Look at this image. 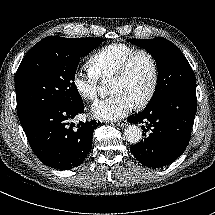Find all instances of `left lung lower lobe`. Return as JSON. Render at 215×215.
I'll use <instances>...</instances> for the list:
<instances>
[{"label":"left lung lower lobe","instance_id":"0a47b994","mask_svg":"<svg viewBox=\"0 0 215 215\" xmlns=\"http://www.w3.org/2000/svg\"><path fill=\"white\" fill-rule=\"evenodd\" d=\"M196 111V89L191 86L168 94L130 117L128 122L145 123L142 129L151 131L130 148L132 154L147 167H163L172 163L189 143Z\"/></svg>","mask_w":215,"mask_h":215}]
</instances>
